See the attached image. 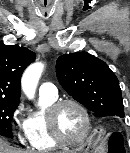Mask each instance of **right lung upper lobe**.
<instances>
[{"label":"right lung upper lobe","instance_id":"cb5924a9","mask_svg":"<svg viewBox=\"0 0 130 153\" xmlns=\"http://www.w3.org/2000/svg\"><path fill=\"white\" fill-rule=\"evenodd\" d=\"M35 57L25 47L0 43V99L19 102L21 75Z\"/></svg>","mask_w":130,"mask_h":153}]
</instances>
